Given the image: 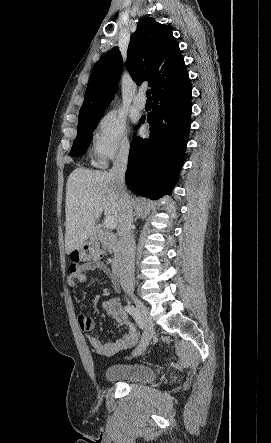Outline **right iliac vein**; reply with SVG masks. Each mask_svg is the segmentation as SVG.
Instances as JSON below:
<instances>
[{"instance_id":"right-iliac-vein-1","label":"right iliac vein","mask_w":271,"mask_h":443,"mask_svg":"<svg viewBox=\"0 0 271 443\" xmlns=\"http://www.w3.org/2000/svg\"><path fill=\"white\" fill-rule=\"evenodd\" d=\"M131 299L137 306L145 325V331L142 340L133 354V355H139L144 352V350L149 345V342L154 335V324L149 316L146 306L134 296H131Z\"/></svg>"}]
</instances>
